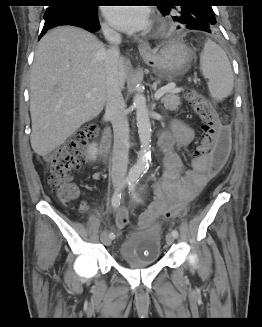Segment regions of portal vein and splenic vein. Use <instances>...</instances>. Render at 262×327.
<instances>
[{
	"instance_id": "portal-vein-and-splenic-vein-1",
	"label": "portal vein and splenic vein",
	"mask_w": 262,
	"mask_h": 327,
	"mask_svg": "<svg viewBox=\"0 0 262 327\" xmlns=\"http://www.w3.org/2000/svg\"><path fill=\"white\" fill-rule=\"evenodd\" d=\"M182 88H176V85L174 83L169 84L166 87H163L161 89H158L154 95L155 99H160L166 92L174 91V92H181ZM87 96H90V94H87Z\"/></svg>"
}]
</instances>
